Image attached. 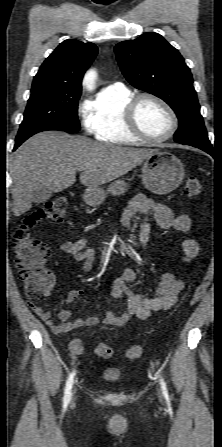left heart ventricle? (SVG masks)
Here are the masks:
<instances>
[{
	"label": "left heart ventricle",
	"mask_w": 222,
	"mask_h": 447,
	"mask_svg": "<svg viewBox=\"0 0 222 447\" xmlns=\"http://www.w3.org/2000/svg\"><path fill=\"white\" fill-rule=\"evenodd\" d=\"M137 119L143 131L154 138L163 137L171 127V120L168 113L160 105L151 100H144L140 104Z\"/></svg>",
	"instance_id": "1"
}]
</instances>
